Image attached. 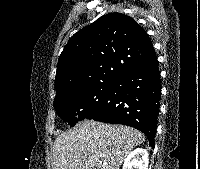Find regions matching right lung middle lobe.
I'll list each match as a JSON object with an SVG mask.
<instances>
[{"label": "right lung middle lobe", "instance_id": "right-lung-middle-lobe-1", "mask_svg": "<svg viewBox=\"0 0 200 169\" xmlns=\"http://www.w3.org/2000/svg\"><path fill=\"white\" fill-rule=\"evenodd\" d=\"M116 79L98 80L78 92L54 100V109L59 117L74 126L93 114L105 101Z\"/></svg>", "mask_w": 200, "mask_h": 169}]
</instances>
